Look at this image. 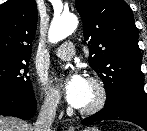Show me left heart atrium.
<instances>
[{"label":"left heart atrium","instance_id":"obj_1","mask_svg":"<svg viewBox=\"0 0 147 131\" xmlns=\"http://www.w3.org/2000/svg\"><path fill=\"white\" fill-rule=\"evenodd\" d=\"M57 87L69 105L81 108L87 96L89 82L80 73L74 72L60 80Z\"/></svg>","mask_w":147,"mask_h":131}]
</instances>
